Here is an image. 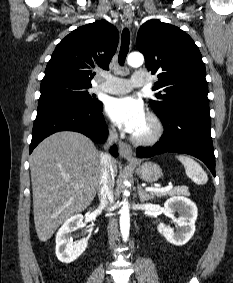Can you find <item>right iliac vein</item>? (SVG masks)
<instances>
[{
  "instance_id": "obj_1",
  "label": "right iliac vein",
  "mask_w": 233,
  "mask_h": 283,
  "mask_svg": "<svg viewBox=\"0 0 233 283\" xmlns=\"http://www.w3.org/2000/svg\"><path fill=\"white\" fill-rule=\"evenodd\" d=\"M107 283H112V281H111V280H108Z\"/></svg>"
}]
</instances>
